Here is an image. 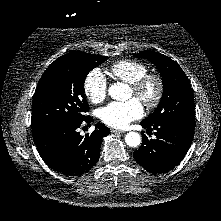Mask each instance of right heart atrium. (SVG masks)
Masks as SVG:
<instances>
[{"label": "right heart atrium", "instance_id": "1", "mask_svg": "<svg viewBox=\"0 0 221 221\" xmlns=\"http://www.w3.org/2000/svg\"><path fill=\"white\" fill-rule=\"evenodd\" d=\"M83 89L88 100L99 104L107 96L108 82L105 74L99 68L91 70L85 77Z\"/></svg>", "mask_w": 221, "mask_h": 221}]
</instances>
